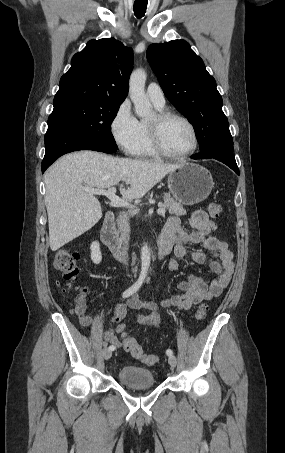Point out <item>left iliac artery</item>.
<instances>
[{"mask_svg": "<svg viewBox=\"0 0 285 453\" xmlns=\"http://www.w3.org/2000/svg\"><path fill=\"white\" fill-rule=\"evenodd\" d=\"M166 354H167L168 356H171V355H173V351H172L171 349H167V350H166Z\"/></svg>", "mask_w": 285, "mask_h": 453, "instance_id": "left-iliac-artery-1", "label": "left iliac artery"}]
</instances>
